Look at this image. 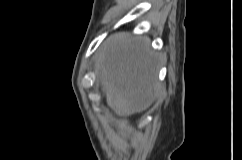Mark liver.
Here are the masks:
<instances>
[{
    "label": "liver",
    "instance_id": "1",
    "mask_svg": "<svg viewBox=\"0 0 242 160\" xmlns=\"http://www.w3.org/2000/svg\"><path fill=\"white\" fill-rule=\"evenodd\" d=\"M148 38L110 36L100 47L96 67L107 105L120 117L148 109L158 90L157 55Z\"/></svg>",
    "mask_w": 242,
    "mask_h": 160
}]
</instances>
